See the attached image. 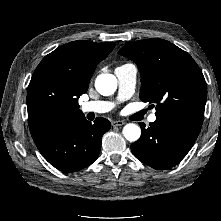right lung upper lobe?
Wrapping results in <instances>:
<instances>
[{"instance_id":"cb5924a9","label":"right lung upper lobe","mask_w":221,"mask_h":221,"mask_svg":"<svg viewBox=\"0 0 221 221\" xmlns=\"http://www.w3.org/2000/svg\"><path fill=\"white\" fill-rule=\"evenodd\" d=\"M114 47V42L78 40L60 46L42 59L27 92L31 135L61 120L83 116L78 98L86 93L97 64Z\"/></svg>"}]
</instances>
